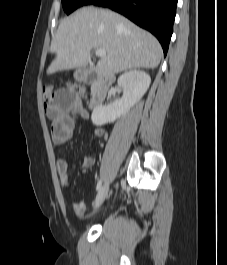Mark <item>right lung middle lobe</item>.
Listing matches in <instances>:
<instances>
[{
	"instance_id": "right-lung-middle-lobe-1",
	"label": "right lung middle lobe",
	"mask_w": 227,
	"mask_h": 265,
	"mask_svg": "<svg viewBox=\"0 0 227 265\" xmlns=\"http://www.w3.org/2000/svg\"><path fill=\"white\" fill-rule=\"evenodd\" d=\"M94 0H62V5L63 9L67 14H70L77 8L84 6V5H89L93 2Z\"/></svg>"
}]
</instances>
